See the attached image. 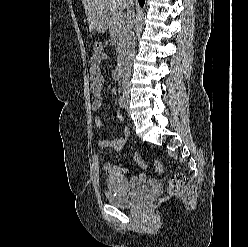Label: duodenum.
<instances>
[{
    "label": "duodenum",
    "mask_w": 248,
    "mask_h": 247,
    "mask_svg": "<svg viewBox=\"0 0 248 247\" xmlns=\"http://www.w3.org/2000/svg\"><path fill=\"white\" fill-rule=\"evenodd\" d=\"M126 66V57L125 55L121 54L117 58L116 69L119 73H123Z\"/></svg>",
    "instance_id": "1"
}]
</instances>
